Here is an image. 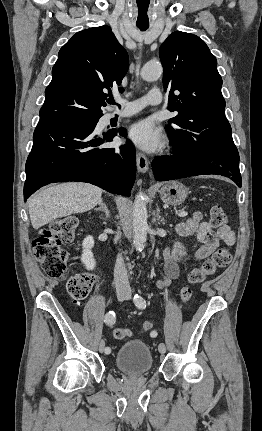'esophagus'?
I'll return each instance as SVG.
<instances>
[{"label": "esophagus", "instance_id": "34e87169", "mask_svg": "<svg viewBox=\"0 0 262 431\" xmlns=\"http://www.w3.org/2000/svg\"><path fill=\"white\" fill-rule=\"evenodd\" d=\"M136 158H137V169H138V171L140 173L147 172L148 160H147L146 156L141 152H137Z\"/></svg>", "mask_w": 262, "mask_h": 431}]
</instances>
